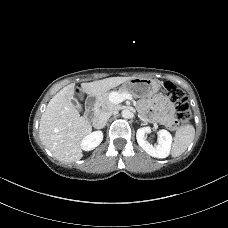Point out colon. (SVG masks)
I'll list each match as a JSON object with an SVG mask.
<instances>
[{
  "mask_svg": "<svg viewBox=\"0 0 228 228\" xmlns=\"http://www.w3.org/2000/svg\"><path fill=\"white\" fill-rule=\"evenodd\" d=\"M165 96L175 104L176 117L168 122L170 128L188 124L191 118L189 100L186 93L174 83L167 81L164 84Z\"/></svg>",
  "mask_w": 228,
  "mask_h": 228,
  "instance_id": "5ec220e1",
  "label": "colon"
}]
</instances>
